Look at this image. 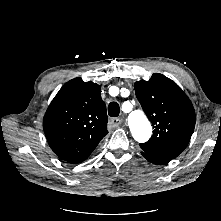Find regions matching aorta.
I'll list each match as a JSON object with an SVG mask.
<instances>
[{
  "label": "aorta",
  "mask_w": 221,
  "mask_h": 221,
  "mask_svg": "<svg viewBox=\"0 0 221 221\" xmlns=\"http://www.w3.org/2000/svg\"><path fill=\"white\" fill-rule=\"evenodd\" d=\"M129 127L134 139L138 142L147 141L152 132L150 122L144 115L138 113L130 116Z\"/></svg>",
  "instance_id": "obj_1"
}]
</instances>
